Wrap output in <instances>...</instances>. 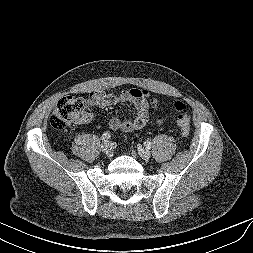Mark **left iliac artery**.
I'll return each mask as SVG.
<instances>
[{"mask_svg":"<svg viewBox=\"0 0 253 253\" xmlns=\"http://www.w3.org/2000/svg\"><path fill=\"white\" fill-rule=\"evenodd\" d=\"M144 145L146 146V148L150 149L151 148V142L150 141H145Z\"/></svg>","mask_w":253,"mask_h":253,"instance_id":"obj_1","label":"left iliac artery"}]
</instances>
